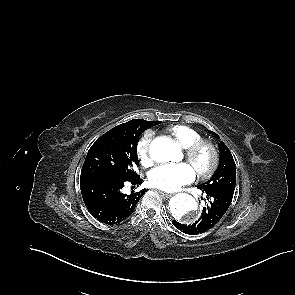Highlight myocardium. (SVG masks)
<instances>
[{
  "instance_id": "1",
  "label": "myocardium",
  "mask_w": 295,
  "mask_h": 295,
  "mask_svg": "<svg viewBox=\"0 0 295 295\" xmlns=\"http://www.w3.org/2000/svg\"><path fill=\"white\" fill-rule=\"evenodd\" d=\"M203 150H208L210 152L211 161L206 168L197 169L196 172L200 178H208L216 171L219 164L218 149L211 141L200 140L192 144L191 146L185 148V157L189 162H192Z\"/></svg>"
}]
</instances>
